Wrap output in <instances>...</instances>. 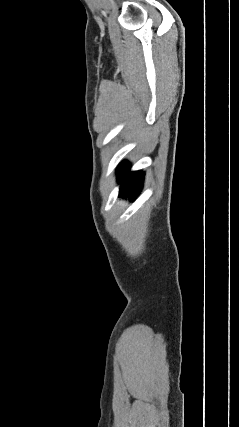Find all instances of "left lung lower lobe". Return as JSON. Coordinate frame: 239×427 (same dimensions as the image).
<instances>
[{
	"mask_svg": "<svg viewBox=\"0 0 239 427\" xmlns=\"http://www.w3.org/2000/svg\"><path fill=\"white\" fill-rule=\"evenodd\" d=\"M117 173L121 182L120 194L129 199L136 197L142 188L143 173L140 171L129 173V165L125 162L121 163Z\"/></svg>",
	"mask_w": 239,
	"mask_h": 427,
	"instance_id": "left-lung-lower-lobe-1",
	"label": "left lung lower lobe"
}]
</instances>
